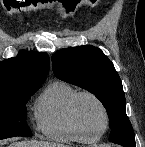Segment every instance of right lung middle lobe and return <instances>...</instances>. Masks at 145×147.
Wrapping results in <instances>:
<instances>
[{
  "instance_id": "1",
  "label": "right lung middle lobe",
  "mask_w": 145,
  "mask_h": 147,
  "mask_svg": "<svg viewBox=\"0 0 145 147\" xmlns=\"http://www.w3.org/2000/svg\"><path fill=\"white\" fill-rule=\"evenodd\" d=\"M40 86L21 87L0 92V139L31 137L25 104Z\"/></svg>"
}]
</instances>
